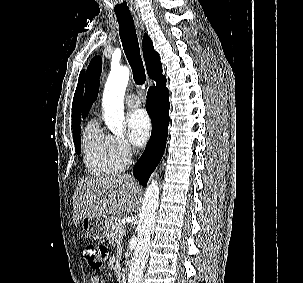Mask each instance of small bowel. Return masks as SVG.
Returning a JSON list of instances; mask_svg holds the SVG:
<instances>
[{"instance_id": "obj_1", "label": "small bowel", "mask_w": 303, "mask_h": 283, "mask_svg": "<svg viewBox=\"0 0 303 283\" xmlns=\"http://www.w3.org/2000/svg\"><path fill=\"white\" fill-rule=\"evenodd\" d=\"M115 265H116L115 259H111L107 264V268L113 269L115 267ZM90 283H102L101 278L98 275H94L91 277Z\"/></svg>"}]
</instances>
